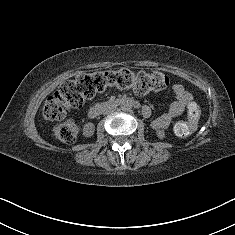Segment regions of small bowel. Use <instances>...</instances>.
I'll use <instances>...</instances> for the list:
<instances>
[{
    "instance_id": "c3829d8e",
    "label": "small bowel",
    "mask_w": 235,
    "mask_h": 235,
    "mask_svg": "<svg viewBox=\"0 0 235 235\" xmlns=\"http://www.w3.org/2000/svg\"><path fill=\"white\" fill-rule=\"evenodd\" d=\"M172 91L175 94L176 100L171 103L169 109L164 114L153 120L152 127L156 130L168 127L172 120L181 115L192 101V95L181 84H174ZM151 113V108L148 105L142 107L144 117H150Z\"/></svg>"
}]
</instances>
